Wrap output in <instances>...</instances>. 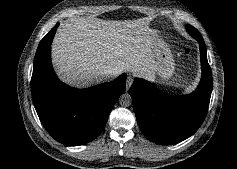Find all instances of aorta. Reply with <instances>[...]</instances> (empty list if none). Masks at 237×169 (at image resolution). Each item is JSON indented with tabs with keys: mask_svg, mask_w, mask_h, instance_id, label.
Segmentation results:
<instances>
[{
	"mask_svg": "<svg viewBox=\"0 0 237 169\" xmlns=\"http://www.w3.org/2000/svg\"><path fill=\"white\" fill-rule=\"evenodd\" d=\"M132 103V98L129 94L125 93L119 98V104L124 107L130 106Z\"/></svg>",
	"mask_w": 237,
	"mask_h": 169,
	"instance_id": "obj_1",
	"label": "aorta"
}]
</instances>
